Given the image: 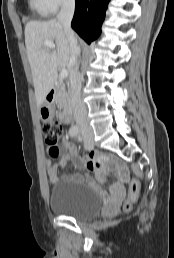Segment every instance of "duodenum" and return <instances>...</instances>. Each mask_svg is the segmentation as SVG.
Wrapping results in <instances>:
<instances>
[{
    "mask_svg": "<svg viewBox=\"0 0 174 258\" xmlns=\"http://www.w3.org/2000/svg\"><path fill=\"white\" fill-rule=\"evenodd\" d=\"M56 92H57L56 88H51L47 92V101L50 105L54 104V97L56 95ZM72 117H73L72 109L69 107H65L62 115L63 122L66 124L70 123L72 121Z\"/></svg>",
    "mask_w": 174,
    "mask_h": 258,
    "instance_id": "1",
    "label": "duodenum"
}]
</instances>
